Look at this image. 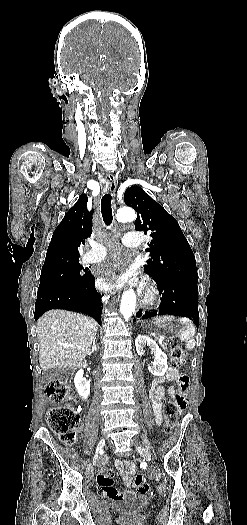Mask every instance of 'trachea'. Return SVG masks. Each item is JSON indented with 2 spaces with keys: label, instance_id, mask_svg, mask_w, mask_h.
Here are the masks:
<instances>
[{
  "label": "trachea",
  "instance_id": "obj_1",
  "mask_svg": "<svg viewBox=\"0 0 247 525\" xmlns=\"http://www.w3.org/2000/svg\"><path fill=\"white\" fill-rule=\"evenodd\" d=\"M111 193L105 194L101 199L102 218L106 226H110L113 220V213L111 208Z\"/></svg>",
  "mask_w": 247,
  "mask_h": 525
}]
</instances>
